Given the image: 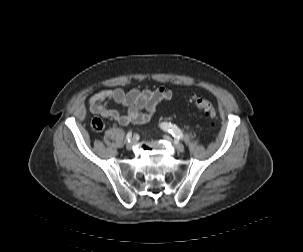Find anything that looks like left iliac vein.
I'll list each match as a JSON object with an SVG mask.
<instances>
[{"instance_id":"left-iliac-vein-1","label":"left iliac vein","mask_w":303,"mask_h":252,"mask_svg":"<svg viewBox=\"0 0 303 252\" xmlns=\"http://www.w3.org/2000/svg\"><path fill=\"white\" fill-rule=\"evenodd\" d=\"M164 139L166 141L172 142L176 151H178V152H183L184 151V146L179 141H177V140L172 141L171 137H169L168 135H164Z\"/></svg>"}]
</instances>
